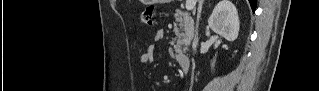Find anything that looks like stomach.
<instances>
[{"instance_id": "1", "label": "stomach", "mask_w": 319, "mask_h": 91, "mask_svg": "<svg viewBox=\"0 0 319 91\" xmlns=\"http://www.w3.org/2000/svg\"><path fill=\"white\" fill-rule=\"evenodd\" d=\"M159 1H161V0H144V2L146 4H155V3H158ZM162 1H164V0H162Z\"/></svg>"}]
</instances>
